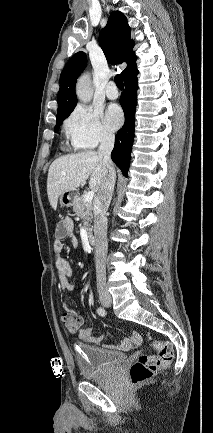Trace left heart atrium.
Returning a JSON list of instances; mask_svg holds the SVG:
<instances>
[{
  "label": "left heart atrium",
  "instance_id": "1",
  "mask_svg": "<svg viewBox=\"0 0 213 433\" xmlns=\"http://www.w3.org/2000/svg\"><path fill=\"white\" fill-rule=\"evenodd\" d=\"M123 113L116 104H111L105 113V122L111 129H118L123 123Z\"/></svg>",
  "mask_w": 213,
  "mask_h": 433
}]
</instances>
